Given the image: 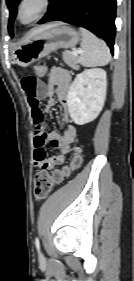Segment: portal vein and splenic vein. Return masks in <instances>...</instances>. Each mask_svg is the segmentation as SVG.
Segmentation results:
<instances>
[{
	"label": "portal vein and splenic vein",
	"instance_id": "1",
	"mask_svg": "<svg viewBox=\"0 0 134 281\" xmlns=\"http://www.w3.org/2000/svg\"><path fill=\"white\" fill-rule=\"evenodd\" d=\"M71 53H72V55L77 56L78 54L82 53V50L74 49Z\"/></svg>",
	"mask_w": 134,
	"mask_h": 281
}]
</instances>
